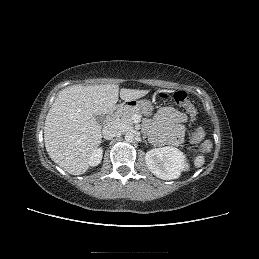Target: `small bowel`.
Wrapping results in <instances>:
<instances>
[{"label": "small bowel", "instance_id": "small-bowel-1", "mask_svg": "<svg viewBox=\"0 0 259 259\" xmlns=\"http://www.w3.org/2000/svg\"><path fill=\"white\" fill-rule=\"evenodd\" d=\"M188 116L172 107L161 108L154 118L156 139L173 145L179 144L184 136Z\"/></svg>", "mask_w": 259, "mask_h": 259}]
</instances>
